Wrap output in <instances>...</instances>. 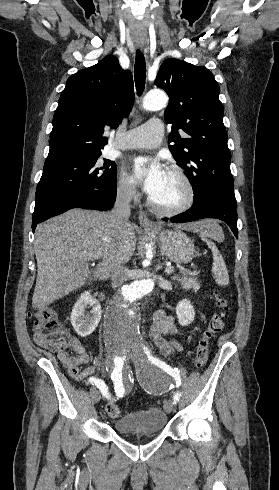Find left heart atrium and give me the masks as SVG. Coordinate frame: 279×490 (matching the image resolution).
Returning <instances> with one entry per match:
<instances>
[{"label":"left heart atrium","instance_id":"1","mask_svg":"<svg viewBox=\"0 0 279 490\" xmlns=\"http://www.w3.org/2000/svg\"><path fill=\"white\" fill-rule=\"evenodd\" d=\"M166 172L157 158L138 157L133 162L131 177L151 199H155L162 192Z\"/></svg>","mask_w":279,"mask_h":490}]
</instances>
